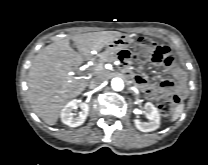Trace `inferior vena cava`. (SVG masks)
Here are the masks:
<instances>
[{"label":"inferior vena cava","mask_w":208,"mask_h":165,"mask_svg":"<svg viewBox=\"0 0 208 165\" xmlns=\"http://www.w3.org/2000/svg\"><path fill=\"white\" fill-rule=\"evenodd\" d=\"M103 82H104V78L96 77V78L91 80L90 87L91 88H96V87L100 86Z\"/></svg>","instance_id":"obj_1"}]
</instances>
